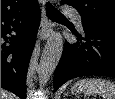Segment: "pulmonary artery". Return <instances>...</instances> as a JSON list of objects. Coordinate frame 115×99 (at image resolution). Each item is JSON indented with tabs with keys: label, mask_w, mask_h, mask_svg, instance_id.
Here are the masks:
<instances>
[{
	"label": "pulmonary artery",
	"mask_w": 115,
	"mask_h": 99,
	"mask_svg": "<svg viewBox=\"0 0 115 99\" xmlns=\"http://www.w3.org/2000/svg\"><path fill=\"white\" fill-rule=\"evenodd\" d=\"M63 12L70 15L76 23L81 24V17L75 10L63 8Z\"/></svg>",
	"instance_id": "obj_1"
}]
</instances>
